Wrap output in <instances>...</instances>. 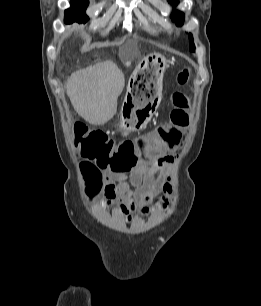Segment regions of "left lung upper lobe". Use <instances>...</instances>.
<instances>
[{
    "mask_svg": "<svg viewBox=\"0 0 261 306\" xmlns=\"http://www.w3.org/2000/svg\"><path fill=\"white\" fill-rule=\"evenodd\" d=\"M169 3H173L174 5H177V0H168ZM172 20L176 21V24L177 25H182L183 22H184V14L180 11H175L173 14H172ZM189 39H190V51L194 52L195 50V46H194V43H193V37L191 34H189Z\"/></svg>",
    "mask_w": 261,
    "mask_h": 306,
    "instance_id": "5c2ea615",
    "label": "left lung upper lobe"
}]
</instances>
